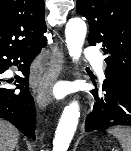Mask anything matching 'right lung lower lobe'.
I'll use <instances>...</instances> for the list:
<instances>
[{"label":"right lung lower lobe","instance_id":"right-lung-lower-lobe-1","mask_svg":"<svg viewBox=\"0 0 131 151\" xmlns=\"http://www.w3.org/2000/svg\"><path fill=\"white\" fill-rule=\"evenodd\" d=\"M46 44L22 50L0 51V75L10 66L14 65L24 75L16 82L17 88H5L3 85L7 80L0 76V117L11 122L24 135L35 139L36 110L34 99L29 93V69L34 58L41 52Z\"/></svg>","mask_w":131,"mask_h":151}]
</instances>
